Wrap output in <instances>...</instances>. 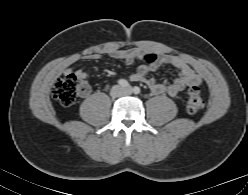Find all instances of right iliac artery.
<instances>
[{
  "instance_id": "obj_1",
  "label": "right iliac artery",
  "mask_w": 248,
  "mask_h": 195,
  "mask_svg": "<svg viewBox=\"0 0 248 195\" xmlns=\"http://www.w3.org/2000/svg\"><path fill=\"white\" fill-rule=\"evenodd\" d=\"M118 84L122 87H125V88H129L130 87V84L128 83L127 80L125 79H120L118 80Z\"/></svg>"
}]
</instances>
